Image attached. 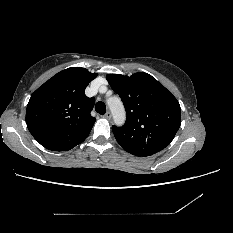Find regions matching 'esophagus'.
<instances>
[{
  "instance_id": "1",
  "label": "esophagus",
  "mask_w": 233,
  "mask_h": 233,
  "mask_svg": "<svg viewBox=\"0 0 233 233\" xmlns=\"http://www.w3.org/2000/svg\"><path fill=\"white\" fill-rule=\"evenodd\" d=\"M104 118L110 119V118H111V112L108 111V112L104 115Z\"/></svg>"
}]
</instances>
